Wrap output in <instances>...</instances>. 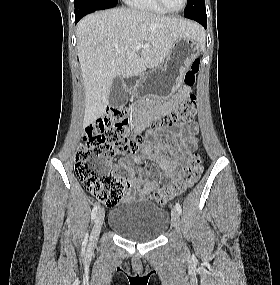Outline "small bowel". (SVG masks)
<instances>
[{"label":"small bowel","instance_id":"small-bowel-1","mask_svg":"<svg viewBox=\"0 0 280 285\" xmlns=\"http://www.w3.org/2000/svg\"><path fill=\"white\" fill-rule=\"evenodd\" d=\"M190 94V88L183 86L166 104L156 111L154 117L161 113H168L174 107L186 99ZM150 122L149 118H141L134 126V133L139 134L145 130ZM197 127L192 124L183 131L172 133V140H156L143 144L138 152L130 154V157H124L120 160L119 166L127 174L125 179L122 198L130 201L131 199H148L150 194L158 190L163 184L164 179L170 180L180 174L184 168L185 162L191 157L196 146ZM165 152L166 155L161 153ZM150 155L155 161L157 169L161 176L156 179L149 178V175L155 172V167L149 165L142 176L138 177L133 164H141L143 157Z\"/></svg>","mask_w":280,"mask_h":285}]
</instances>
